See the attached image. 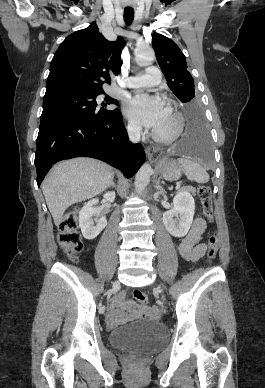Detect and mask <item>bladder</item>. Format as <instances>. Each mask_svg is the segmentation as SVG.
I'll use <instances>...</instances> for the list:
<instances>
[{"label": "bladder", "mask_w": 265, "mask_h": 388, "mask_svg": "<svg viewBox=\"0 0 265 388\" xmlns=\"http://www.w3.org/2000/svg\"><path fill=\"white\" fill-rule=\"evenodd\" d=\"M165 331L159 324L149 321L132 322L115 328L108 337L110 345L145 351L164 343Z\"/></svg>", "instance_id": "31cf9c89"}]
</instances>
